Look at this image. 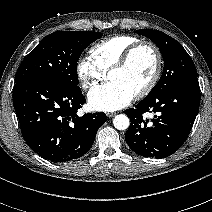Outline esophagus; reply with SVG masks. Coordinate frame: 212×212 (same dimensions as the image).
Returning <instances> with one entry per match:
<instances>
[{
    "instance_id": "esophagus-1",
    "label": "esophagus",
    "mask_w": 212,
    "mask_h": 212,
    "mask_svg": "<svg viewBox=\"0 0 212 212\" xmlns=\"http://www.w3.org/2000/svg\"><path fill=\"white\" fill-rule=\"evenodd\" d=\"M116 115V113H107V116L109 117V118H111V117H114Z\"/></svg>"
}]
</instances>
